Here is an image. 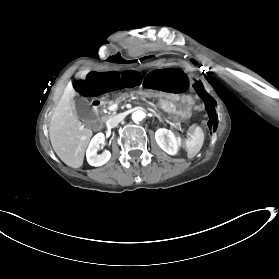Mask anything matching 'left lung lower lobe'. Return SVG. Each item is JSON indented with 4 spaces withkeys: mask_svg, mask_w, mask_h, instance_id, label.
<instances>
[{
    "mask_svg": "<svg viewBox=\"0 0 279 279\" xmlns=\"http://www.w3.org/2000/svg\"><path fill=\"white\" fill-rule=\"evenodd\" d=\"M194 88L197 90V92L199 93L200 96L204 97L205 99V102H206V109L208 111V115H209V121H208V126L211 128L213 126V124L215 123L216 121V115H215V110H214V101L211 100V99H207L202 91H201V88H200V85L198 82H196L194 84Z\"/></svg>",
    "mask_w": 279,
    "mask_h": 279,
    "instance_id": "left-lung-lower-lobe-1",
    "label": "left lung lower lobe"
}]
</instances>
